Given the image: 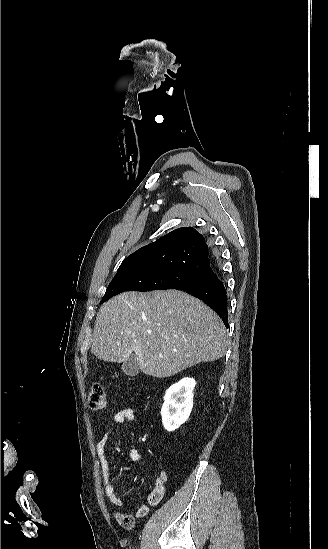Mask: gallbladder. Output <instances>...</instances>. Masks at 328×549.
I'll use <instances>...</instances> for the list:
<instances>
[{
  "label": "gallbladder",
  "instance_id": "1",
  "mask_svg": "<svg viewBox=\"0 0 328 549\" xmlns=\"http://www.w3.org/2000/svg\"><path fill=\"white\" fill-rule=\"evenodd\" d=\"M122 371L123 373H125V375H129V377H136V375H138L139 365L136 359V355H134V353H132L129 359H127V361L123 363Z\"/></svg>",
  "mask_w": 328,
  "mask_h": 549
}]
</instances>
